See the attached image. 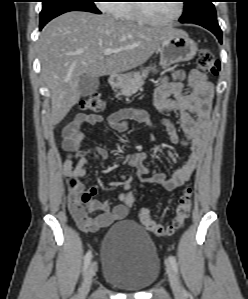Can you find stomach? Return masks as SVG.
<instances>
[{"label":"stomach","instance_id":"0dacf381","mask_svg":"<svg viewBox=\"0 0 248 299\" xmlns=\"http://www.w3.org/2000/svg\"><path fill=\"white\" fill-rule=\"evenodd\" d=\"M197 50V44L189 38L186 32L175 30L161 43L158 49L160 65L168 67L174 63L189 61L196 55ZM151 70L155 72L156 68L152 67ZM137 74L139 73L117 76L114 85L122 87L133 80Z\"/></svg>","mask_w":248,"mask_h":299}]
</instances>
